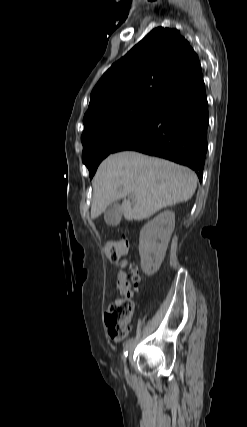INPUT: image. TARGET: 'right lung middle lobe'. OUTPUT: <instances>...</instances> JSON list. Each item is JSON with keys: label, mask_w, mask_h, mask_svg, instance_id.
<instances>
[{"label": "right lung middle lobe", "mask_w": 247, "mask_h": 427, "mask_svg": "<svg viewBox=\"0 0 247 427\" xmlns=\"http://www.w3.org/2000/svg\"><path fill=\"white\" fill-rule=\"evenodd\" d=\"M157 106L141 105L120 110L100 119L87 128L81 136L82 161L95 174L100 162L137 133L153 116Z\"/></svg>", "instance_id": "dd1d6c3e"}]
</instances>
